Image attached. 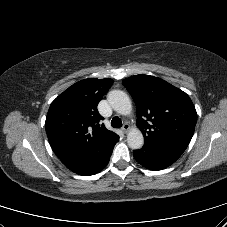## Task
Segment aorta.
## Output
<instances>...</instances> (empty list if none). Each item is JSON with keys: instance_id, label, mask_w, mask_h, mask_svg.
<instances>
[{"instance_id": "1", "label": "aorta", "mask_w": 227, "mask_h": 227, "mask_svg": "<svg viewBox=\"0 0 227 227\" xmlns=\"http://www.w3.org/2000/svg\"><path fill=\"white\" fill-rule=\"evenodd\" d=\"M111 107L122 115H129L132 111V104L129 96L121 90H112L107 96ZM127 143L131 149H140L144 144L142 132L137 129H131L127 134Z\"/></svg>"}]
</instances>
